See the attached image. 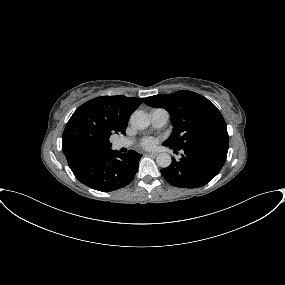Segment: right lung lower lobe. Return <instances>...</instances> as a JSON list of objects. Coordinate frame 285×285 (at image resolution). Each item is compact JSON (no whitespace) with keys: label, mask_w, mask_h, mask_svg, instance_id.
Instances as JSON below:
<instances>
[{"label":"right lung lower lobe","mask_w":285,"mask_h":285,"mask_svg":"<svg viewBox=\"0 0 285 285\" xmlns=\"http://www.w3.org/2000/svg\"><path fill=\"white\" fill-rule=\"evenodd\" d=\"M141 154L106 150L80 160L70 167L83 184L102 192L114 191L128 185L134 178Z\"/></svg>","instance_id":"98d812e1"}]
</instances>
